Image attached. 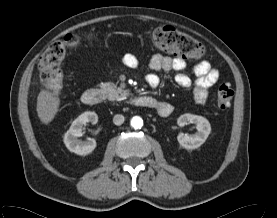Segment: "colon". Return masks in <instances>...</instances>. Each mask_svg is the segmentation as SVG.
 <instances>
[{"label":"colon","instance_id":"5ec220e1","mask_svg":"<svg viewBox=\"0 0 277 218\" xmlns=\"http://www.w3.org/2000/svg\"><path fill=\"white\" fill-rule=\"evenodd\" d=\"M86 38H90V35L68 34L47 47L38 63L43 87L53 94L60 93L63 87L61 63L67 51L78 48ZM144 38L147 43L168 54L190 59H198L204 54V48L198 40L170 26L157 27L147 32ZM233 97V88L222 84L216 92L217 107L221 110L227 109Z\"/></svg>","mask_w":277,"mask_h":218}]
</instances>
